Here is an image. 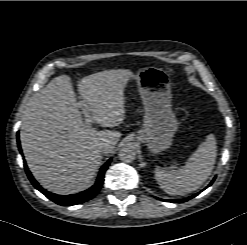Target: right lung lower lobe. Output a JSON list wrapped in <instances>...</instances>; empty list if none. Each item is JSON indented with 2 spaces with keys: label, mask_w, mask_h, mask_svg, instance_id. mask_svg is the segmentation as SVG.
Returning <instances> with one entry per match:
<instances>
[{
  "label": "right lung lower lobe",
  "mask_w": 247,
  "mask_h": 245,
  "mask_svg": "<svg viewBox=\"0 0 247 245\" xmlns=\"http://www.w3.org/2000/svg\"><path fill=\"white\" fill-rule=\"evenodd\" d=\"M19 135L17 134V142H18V147L19 150L21 152V148H20V142H19ZM111 162V159H109L100 169L99 175L97 177V180L95 182V184L80 193L77 194H73V195H56L53 193H50L48 191H46L45 189H43L37 182L36 180L33 178V176L31 175L30 171L28 170L27 165H24V168L26 170V173L28 175V178L30 179L31 183L33 184V186L38 189L41 193H43L47 198H49L50 200L54 201L55 203L62 205V206H68V205H76V204H81L83 202H86L90 199H92L94 196L97 195V193L99 192V190L102 188L103 182H104V174L105 171L107 170L109 164Z\"/></svg>",
  "instance_id": "1"
}]
</instances>
